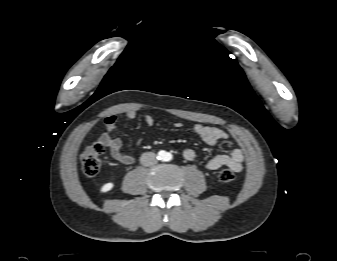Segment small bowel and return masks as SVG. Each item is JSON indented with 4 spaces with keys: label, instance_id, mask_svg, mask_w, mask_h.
I'll return each instance as SVG.
<instances>
[{
    "label": "small bowel",
    "instance_id": "c3829d8e",
    "mask_svg": "<svg viewBox=\"0 0 337 261\" xmlns=\"http://www.w3.org/2000/svg\"><path fill=\"white\" fill-rule=\"evenodd\" d=\"M120 117L133 120L136 119L137 113L131 110L121 115L107 116L104 120L105 130L100 135L99 141L109 150V153L114 160L124 165H130L134 162V158L122 152V140L113 135L117 129V122ZM143 119L148 126H152L155 123V120L151 115H145ZM181 126L182 124L180 122L174 124L175 128H180ZM193 130L205 143L211 146L216 145L221 140L230 139L225 131L215 126L196 124ZM141 142L142 140L139 139L137 143L140 144ZM195 156L196 153L191 148H187L183 151V157L188 161L193 160ZM243 160L244 155L242 150L236 148L233 149L230 154L214 156L207 162L206 168L209 171H215L226 166L238 173L243 169Z\"/></svg>",
    "mask_w": 337,
    "mask_h": 261
}]
</instances>
